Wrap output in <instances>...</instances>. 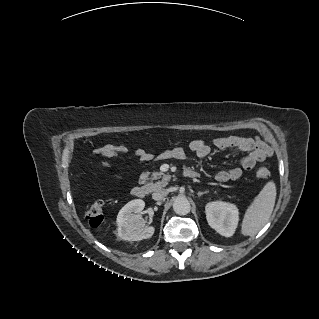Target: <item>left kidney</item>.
I'll return each mask as SVG.
<instances>
[{
    "label": "left kidney",
    "mask_w": 319,
    "mask_h": 319,
    "mask_svg": "<svg viewBox=\"0 0 319 319\" xmlns=\"http://www.w3.org/2000/svg\"><path fill=\"white\" fill-rule=\"evenodd\" d=\"M206 219L211 228L220 235L230 237L235 233L239 222V211L236 205L213 201L205 206Z\"/></svg>",
    "instance_id": "left-kidney-1"
}]
</instances>
